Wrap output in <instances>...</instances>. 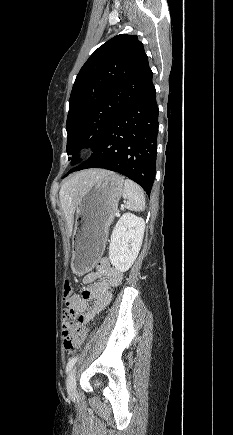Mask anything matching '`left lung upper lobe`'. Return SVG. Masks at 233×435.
<instances>
[{
    "mask_svg": "<svg viewBox=\"0 0 233 435\" xmlns=\"http://www.w3.org/2000/svg\"><path fill=\"white\" fill-rule=\"evenodd\" d=\"M143 44L120 34L100 46L79 71L69 99L67 154L80 162L82 147L96 148L112 122L152 81Z\"/></svg>",
    "mask_w": 233,
    "mask_h": 435,
    "instance_id": "5c2ea615",
    "label": "left lung upper lobe"
}]
</instances>
